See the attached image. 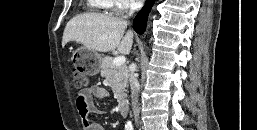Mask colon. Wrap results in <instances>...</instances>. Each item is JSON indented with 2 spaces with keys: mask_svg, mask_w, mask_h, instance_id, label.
Returning <instances> with one entry per match:
<instances>
[{
  "mask_svg": "<svg viewBox=\"0 0 257 130\" xmlns=\"http://www.w3.org/2000/svg\"><path fill=\"white\" fill-rule=\"evenodd\" d=\"M73 83L76 88L84 87L87 85V78L81 71L74 70Z\"/></svg>",
  "mask_w": 257,
  "mask_h": 130,
  "instance_id": "colon-1",
  "label": "colon"
}]
</instances>
